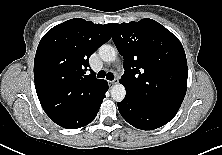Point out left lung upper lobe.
<instances>
[{"instance_id": "obj_1", "label": "left lung upper lobe", "mask_w": 222, "mask_h": 155, "mask_svg": "<svg viewBox=\"0 0 222 155\" xmlns=\"http://www.w3.org/2000/svg\"><path fill=\"white\" fill-rule=\"evenodd\" d=\"M112 39L124 58L120 83L126 96L178 111L187 89L186 55L178 38L160 23H110Z\"/></svg>"}]
</instances>
